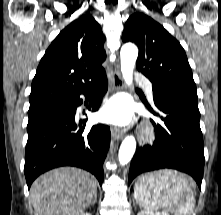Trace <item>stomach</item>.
<instances>
[{
	"label": "stomach",
	"instance_id": "1",
	"mask_svg": "<svg viewBox=\"0 0 221 215\" xmlns=\"http://www.w3.org/2000/svg\"><path fill=\"white\" fill-rule=\"evenodd\" d=\"M165 171H159V172H156V173H151V174H147V175H144V177H148V176H152L154 178V180L156 181L160 176L163 175Z\"/></svg>",
	"mask_w": 221,
	"mask_h": 215
}]
</instances>
